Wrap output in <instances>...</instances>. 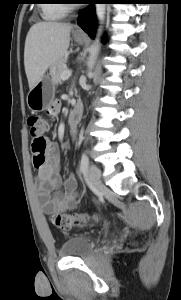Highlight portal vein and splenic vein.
<instances>
[{"label":"portal vein and splenic vein","mask_w":181,"mask_h":300,"mask_svg":"<svg viewBox=\"0 0 181 300\" xmlns=\"http://www.w3.org/2000/svg\"><path fill=\"white\" fill-rule=\"evenodd\" d=\"M71 74H72L71 70H65L61 75L62 80L68 79L71 76Z\"/></svg>","instance_id":"1"}]
</instances>
